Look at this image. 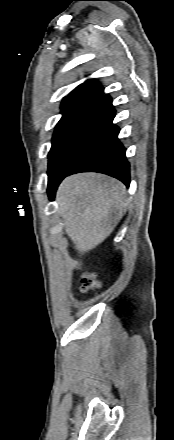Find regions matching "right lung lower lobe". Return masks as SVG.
Masks as SVG:
<instances>
[{
    "label": "right lung lower lobe",
    "mask_w": 174,
    "mask_h": 440,
    "mask_svg": "<svg viewBox=\"0 0 174 440\" xmlns=\"http://www.w3.org/2000/svg\"><path fill=\"white\" fill-rule=\"evenodd\" d=\"M98 111L93 131L87 144L72 168L56 183L48 186V196L54 199L60 182L68 175L78 172H100L130 184V165L126 159V150L119 142V128L113 124L115 109L109 95L99 98Z\"/></svg>",
    "instance_id": "right-lung-lower-lobe-1"
}]
</instances>
